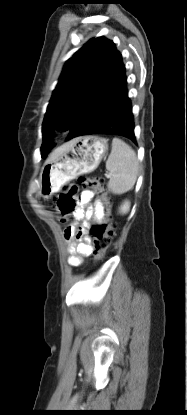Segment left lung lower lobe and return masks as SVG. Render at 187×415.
Segmentation results:
<instances>
[{"label":"left lung lower lobe","mask_w":187,"mask_h":415,"mask_svg":"<svg viewBox=\"0 0 187 415\" xmlns=\"http://www.w3.org/2000/svg\"><path fill=\"white\" fill-rule=\"evenodd\" d=\"M90 99L99 101V109L91 116H84L70 130L67 140L90 134H112L136 143L125 66L116 48L96 80Z\"/></svg>","instance_id":"left-lung-lower-lobe-1"}]
</instances>
